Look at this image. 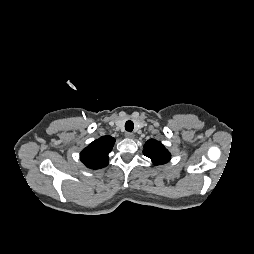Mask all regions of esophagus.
Returning <instances> with one entry per match:
<instances>
[{"instance_id":"esophagus-1","label":"esophagus","mask_w":254,"mask_h":254,"mask_svg":"<svg viewBox=\"0 0 254 254\" xmlns=\"http://www.w3.org/2000/svg\"><path fill=\"white\" fill-rule=\"evenodd\" d=\"M125 136H126V138H128V139H133V138H134V134L131 133V132H126V133H125Z\"/></svg>"}]
</instances>
